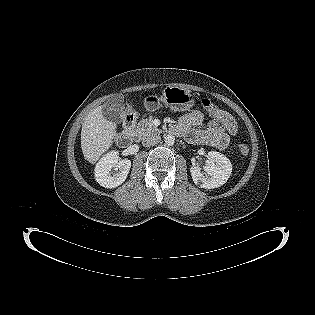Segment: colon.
I'll return each instance as SVG.
<instances>
[{
	"label": "colon",
	"mask_w": 315,
	"mask_h": 315,
	"mask_svg": "<svg viewBox=\"0 0 315 315\" xmlns=\"http://www.w3.org/2000/svg\"><path fill=\"white\" fill-rule=\"evenodd\" d=\"M201 105L206 110L207 113H213V112L221 113L222 112V107L215 106L209 99H206V98L202 99ZM223 118L228 120L230 130L236 129V118L232 117V114L230 112H224ZM238 151L241 155L245 156L248 154L249 148L245 144H239Z\"/></svg>",
	"instance_id": "colon-1"
}]
</instances>
